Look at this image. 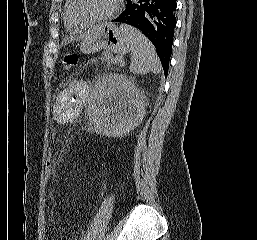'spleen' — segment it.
Masks as SVG:
<instances>
[{"instance_id": "obj_1", "label": "spleen", "mask_w": 257, "mask_h": 240, "mask_svg": "<svg viewBox=\"0 0 257 240\" xmlns=\"http://www.w3.org/2000/svg\"><path fill=\"white\" fill-rule=\"evenodd\" d=\"M121 28L127 32L128 46L132 52L130 71L135 74L160 73V60L148 38L133 27L121 25Z\"/></svg>"}]
</instances>
